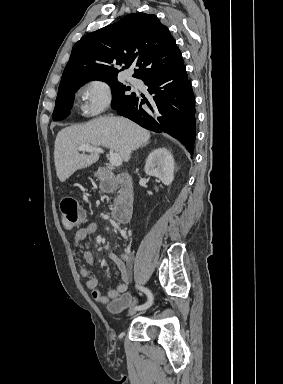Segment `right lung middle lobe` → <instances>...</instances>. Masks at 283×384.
I'll list each match as a JSON object with an SVG mask.
<instances>
[{"mask_svg":"<svg viewBox=\"0 0 283 384\" xmlns=\"http://www.w3.org/2000/svg\"><path fill=\"white\" fill-rule=\"evenodd\" d=\"M105 82L111 86L113 95L112 106L135 95V93H132L130 96L125 95V92L131 88L118 82L117 79H109L105 80ZM83 84L84 83H70L59 86L55 109L52 116L54 121L63 120L69 115L75 97L74 93Z\"/></svg>","mask_w":283,"mask_h":384,"instance_id":"dd1d6c3e","label":"right lung middle lobe"}]
</instances>
